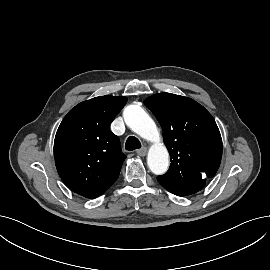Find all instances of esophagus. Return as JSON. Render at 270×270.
Here are the masks:
<instances>
[{
  "label": "esophagus",
  "mask_w": 270,
  "mask_h": 270,
  "mask_svg": "<svg viewBox=\"0 0 270 270\" xmlns=\"http://www.w3.org/2000/svg\"><path fill=\"white\" fill-rule=\"evenodd\" d=\"M147 150H148L147 147H142L141 149L137 150L136 153L138 156L143 157L147 154Z\"/></svg>",
  "instance_id": "esophagus-1"
}]
</instances>
